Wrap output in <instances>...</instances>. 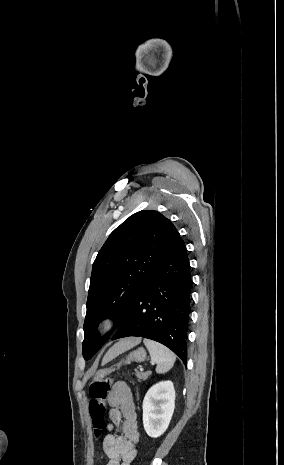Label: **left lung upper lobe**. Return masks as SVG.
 <instances>
[{"label": "left lung upper lobe", "mask_w": 284, "mask_h": 465, "mask_svg": "<svg viewBox=\"0 0 284 465\" xmlns=\"http://www.w3.org/2000/svg\"><path fill=\"white\" fill-rule=\"evenodd\" d=\"M180 235L157 211H139L118 226L100 249L92 268L82 354L89 360L107 341L96 327L104 318L120 324L137 292L175 246Z\"/></svg>", "instance_id": "left-lung-upper-lobe-1"}]
</instances>
